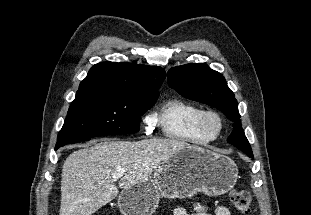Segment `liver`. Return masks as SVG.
I'll list each match as a JSON object with an SVG mask.
<instances>
[{
    "instance_id": "6515ba94",
    "label": "liver",
    "mask_w": 311,
    "mask_h": 215,
    "mask_svg": "<svg viewBox=\"0 0 311 215\" xmlns=\"http://www.w3.org/2000/svg\"><path fill=\"white\" fill-rule=\"evenodd\" d=\"M187 147L183 141L151 138L104 140L74 151L62 168L60 215H92L118 195L114 172L125 170L119 188H129Z\"/></svg>"
}]
</instances>
